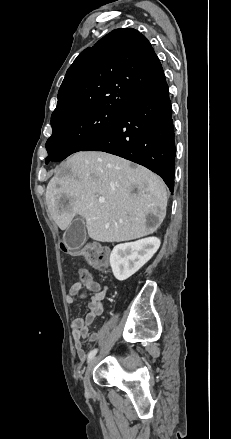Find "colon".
<instances>
[{
    "label": "colon",
    "mask_w": 231,
    "mask_h": 439,
    "mask_svg": "<svg viewBox=\"0 0 231 439\" xmlns=\"http://www.w3.org/2000/svg\"><path fill=\"white\" fill-rule=\"evenodd\" d=\"M63 251H67V246L61 244ZM81 254L84 256L86 261L98 270H105L108 266V251L106 248L97 245L95 241L89 244H85L80 249ZM81 278L83 281L89 278V274L86 271H81Z\"/></svg>",
    "instance_id": "colon-1"
}]
</instances>
